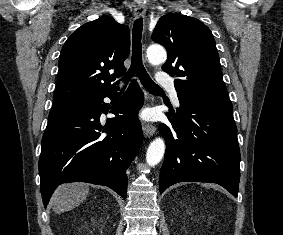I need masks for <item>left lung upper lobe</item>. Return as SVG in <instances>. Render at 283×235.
Returning <instances> with one entry per match:
<instances>
[{
	"label": "left lung upper lobe",
	"instance_id": "left-lung-upper-lobe-1",
	"mask_svg": "<svg viewBox=\"0 0 283 235\" xmlns=\"http://www.w3.org/2000/svg\"><path fill=\"white\" fill-rule=\"evenodd\" d=\"M168 58L162 69L177 77V93L211 102H230L212 32L201 21L186 15L167 14L152 34Z\"/></svg>",
	"mask_w": 283,
	"mask_h": 235
}]
</instances>
